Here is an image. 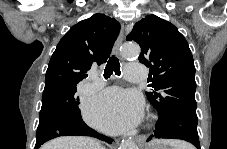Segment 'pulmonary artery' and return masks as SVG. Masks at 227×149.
<instances>
[{
    "label": "pulmonary artery",
    "mask_w": 227,
    "mask_h": 149,
    "mask_svg": "<svg viewBox=\"0 0 227 149\" xmlns=\"http://www.w3.org/2000/svg\"><path fill=\"white\" fill-rule=\"evenodd\" d=\"M127 80L130 82H142L146 79L147 70L142 64L129 63L125 68ZM91 84L86 88L88 91H93L101 88L104 81L97 76L90 77Z\"/></svg>",
    "instance_id": "e3ab8cb5"
}]
</instances>
